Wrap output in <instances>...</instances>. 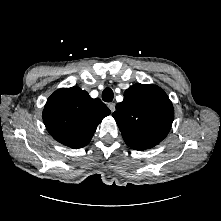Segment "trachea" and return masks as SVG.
Returning a JSON list of instances; mask_svg holds the SVG:
<instances>
[{
  "label": "trachea",
  "instance_id": "1",
  "mask_svg": "<svg viewBox=\"0 0 221 221\" xmlns=\"http://www.w3.org/2000/svg\"><path fill=\"white\" fill-rule=\"evenodd\" d=\"M114 98V93L111 88H105L102 92V99L105 102H111Z\"/></svg>",
  "mask_w": 221,
  "mask_h": 221
}]
</instances>
